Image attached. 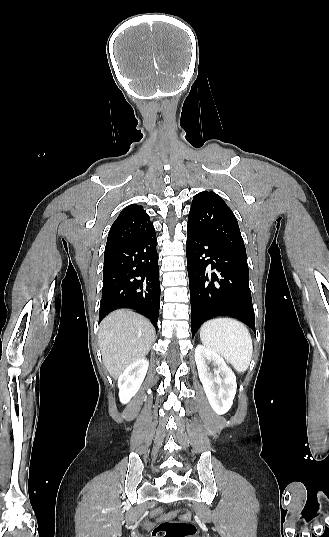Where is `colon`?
Segmentation results:
<instances>
[{
	"label": "colon",
	"mask_w": 329,
	"mask_h": 537,
	"mask_svg": "<svg viewBox=\"0 0 329 537\" xmlns=\"http://www.w3.org/2000/svg\"><path fill=\"white\" fill-rule=\"evenodd\" d=\"M152 517L163 520L154 529V537H193L197 532L191 514L187 510L171 512L168 509H156L152 512ZM176 517L178 520H174Z\"/></svg>",
	"instance_id": "colon-1"
}]
</instances>
